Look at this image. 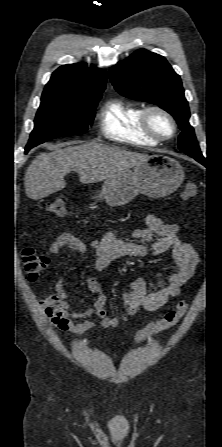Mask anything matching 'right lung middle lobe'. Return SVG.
<instances>
[{
    "label": "right lung middle lobe",
    "mask_w": 222,
    "mask_h": 447,
    "mask_svg": "<svg viewBox=\"0 0 222 447\" xmlns=\"http://www.w3.org/2000/svg\"><path fill=\"white\" fill-rule=\"evenodd\" d=\"M102 95L75 96L57 91H43L35 117V127L26 150L50 139L84 132L92 124Z\"/></svg>",
    "instance_id": "obj_1"
}]
</instances>
